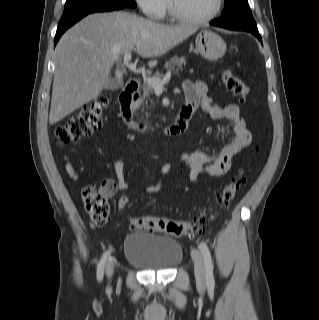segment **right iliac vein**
<instances>
[{
  "label": "right iliac vein",
  "mask_w": 319,
  "mask_h": 320,
  "mask_svg": "<svg viewBox=\"0 0 319 320\" xmlns=\"http://www.w3.org/2000/svg\"><path fill=\"white\" fill-rule=\"evenodd\" d=\"M113 271H114V264L113 262H110L106 267V273L108 278H111Z\"/></svg>",
  "instance_id": "right-iliac-vein-1"
}]
</instances>
